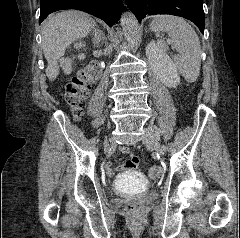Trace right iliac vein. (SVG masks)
I'll return each mask as SVG.
<instances>
[{
  "label": "right iliac vein",
  "instance_id": "1",
  "mask_svg": "<svg viewBox=\"0 0 240 238\" xmlns=\"http://www.w3.org/2000/svg\"><path fill=\"white\" fill-rule=\"evenodd\" d=\"M105 146H108V142L107 141H105V144H104Z\"/></svg>",
  "mask_w": 240,
  "mask_h": 238
}]
</instances>
